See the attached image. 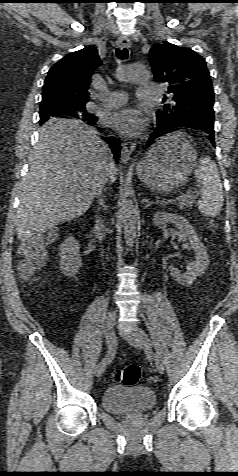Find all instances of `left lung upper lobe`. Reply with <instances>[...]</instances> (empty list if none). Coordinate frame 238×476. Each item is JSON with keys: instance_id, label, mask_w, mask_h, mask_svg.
<instances>
[{"instance_id": "5c2ea615", "label": "left lung upper lobe", "mask_w": 238, "mask_h": 476, "mask_svg": "<svg viewBox=\"0 0 238 476\" xmlns=\"http://www.w3.org/2000/svg\"><path fill=\"white\" fill-rule=\"evenodd\" d=\"M149 59L156 81L167 85V93L173 101L171 106L164 105L156 112L157 121L190 116L214 119L211 77L199 54L165 42L150 49Z\"/></svg>"}]
</instances>
